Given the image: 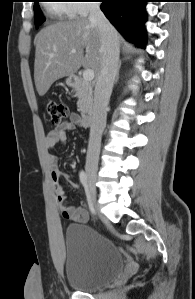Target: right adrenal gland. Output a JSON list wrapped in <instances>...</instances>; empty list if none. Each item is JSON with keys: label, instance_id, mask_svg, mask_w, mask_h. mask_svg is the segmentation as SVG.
I'll use <instances>...</instances> for the list:
<instances>
[{"label": "right adrenal gland", "instance_id": "2a0ac1e0", "mask_svg": "<svg viewBox=\"0 0 195 299\" xmlns=\"http://www.w3.org/2000/svg\"><path fill=\"white\" fill-rule=\"evenodd\" d=\"M120 67H121V61L119 62L118 68H117V74H116V79H115V83H117L118 79H119V71H120Z\"/></svg>", "mask_w": 195, "mask_h": 299}]
</instances>
